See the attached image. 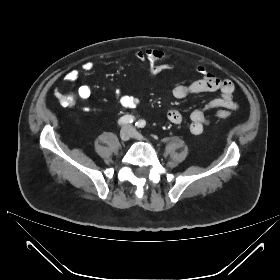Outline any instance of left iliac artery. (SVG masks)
Listing matches in <instances>:
<instances>
[{
    "label": "left iliac artery",
    "instance_id": "44dca946",
    "mask_svg": "<svg viewBox=\"0 0 280 280\" xmlns=\"http://www.w3.org/2000/svg\"><path fill=\"white\" fill-rule=\"evenodd\" d=\"M138 128H144L146 125V122L144 120H139L138 122H136L135 124Z\"/></svg>",
    "mask_w": 280,
    "mask_h": 280
}]
</instances>
